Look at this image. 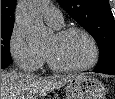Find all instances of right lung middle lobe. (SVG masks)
Listing matches in <instances>:
<instances>
[{
  "label": "right lung middle lobe",
  "instance_id": "dd1d6c3e",
  "mask_svg": "<svg viewBox=\"0 0 115 99\" xmlns=\"http://www.w3.org/2000/svg\"><path fill=\"white\" fill-rule=\"evenodd\" d=\"M13 26H1V64H11L10 38Z\"/></svg>",
  "mask_w": 115,
  "mask_h": 99
}]
</instances>
